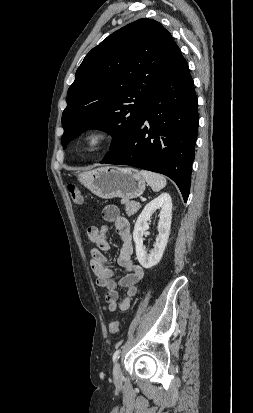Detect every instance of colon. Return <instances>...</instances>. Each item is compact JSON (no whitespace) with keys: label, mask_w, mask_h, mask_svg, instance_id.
Segmentation results:
<instances>
[{"label":"colon","mask_w":253,"mask_h":413,"mask_svg":"<svg viewBox=\"0 0 253 413\" xmlns=\"http://www.w3.org/2000/svg\"><path fill=\"white\" fill-rule=\"evenodd\" d=\"M68 193L76 204H81L83 202V195L75 183H69L67 186ZM120 323L119 321L115 320L109 324V332L115 334L119 330Z\"/></svg>","instance_id":"colon-1"}]
</instances>
